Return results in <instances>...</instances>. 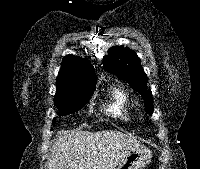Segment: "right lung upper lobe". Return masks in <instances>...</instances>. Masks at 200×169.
I'll list each match as a JSON object with an SVG mask.
<instances>
[{"instance_id": "cb5924a9", "label": "right lung upper lobe", "mask_w": 200, "mask_h": 169, "mask_svg": "<svg viewBox=\"0 0 200 169\" xmlns=\"http://www.w3.org/2000/svg\"><path fill=\"white\" fill-rule=\"evenodd\" d=\"M56 85L57 91L54 100L94 92L96 86L95 70L87 59L66 55L62 60Z\"/></svg>"}]
</instances>
